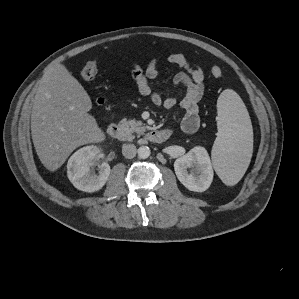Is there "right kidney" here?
<instances>
[{"label": "right kidney", "mask_w": 299, "mask_h": 299, "mask_svg": "<svg viewBox=\"0 0 299 299\" xmlns=\"http://www.w3.org/2000/svg\"><path fill=\"white\" fill-rule=\"evenodd\" d=\"M101 149L95 145L85 146L77 150L68 160L67 176L75 188L84 192L100 190L108 180L110 166L106 162L98 163V173L91 170L93 160Z\"/></svg>", "instance_id": "1"}]
</instances>
